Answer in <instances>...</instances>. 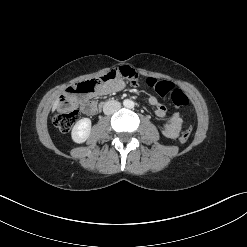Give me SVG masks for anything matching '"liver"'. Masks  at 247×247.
<instances>
[{"label":"liver","mask_w":247,"mask_h":247,"mask_svg":"<svg viewBox=\"0 0 247 247\" xmlns=\"http://www.w3.org/2000/svg\"><path fill=\"white\" fill-rule=\"evenodd\" d=\"M59 105V99H57L54 103H53V107H52V111H55L57 109Z\"/></svg>","instance_id":"6515ba94"}]
</instances>
